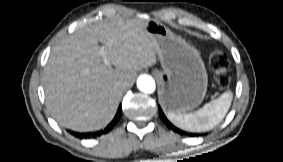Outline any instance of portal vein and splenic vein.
<instances>
[{
	"mask_svg": "<svg viewBox=\"0 0 283 162\" xmlns=\"http://www.w3.org/2000/svg\"><path fill=\"white\" fill-rule=\"evenodd\" d=\"M100 51H101V54L104 55V53H105L104 52V47H101ZM103 62H104L105 65H109V61L106 58L103 59Z\"/></svg>",
	"mask_w": 283,
	"mask_h": 162,
	"instance_id": "obj_1",
	"label": "portal vein and splenic vein"
}]
</instances>
